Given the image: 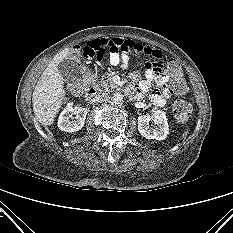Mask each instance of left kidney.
I'll return each mask as SVG.
<instances>
[{
	"label": "left kidney",
	"instance_id": "5707ae66",
	"mask_svg": "<svg viewBox=\"0 0 233 233\" xmlns=\"http://www.w3.org/2000/svg\"><path fill=\"white\" fill-rule=\"evenodd\" d=\"M150 120L154 121V127L149 126ZM138 131L146 139H165L169 133V125L165 113L161 110H156L150 116H139Z\"/></svg>",
	"mask_w": 233,
	"mask_h": 233
}]
</instances>
